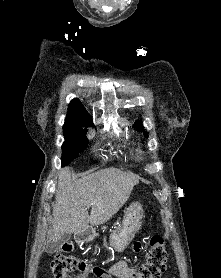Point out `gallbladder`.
<instances>
[{
    "label": "gallbladder",
    "mask_w": 221,
    "mask_h": 278,
    "mask_svg": "<svg viewBox=\"0 0 221 278\" xmlns=\"http://www.w3.org/2000/svg\"><path fill=\"white\" fill-rule=\"evenodd\" d=\"M70 238H71L70 233L64 234L57 242H54L53 244H51V246L49 247L48 250L51 252L60 250L62 245L67 243L70 240Z\"/></svg>",
    "instance_id": "gallbladder-1"
}]
</instances>
